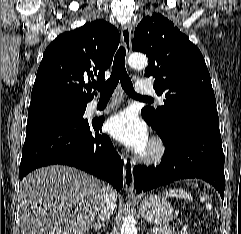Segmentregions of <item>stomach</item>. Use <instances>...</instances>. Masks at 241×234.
<instances>
[{"label":"stomach","mask_w":241,"mask_h":234,"mask_svg":"<svg viewBox=\"0 0 241 234\" xmlns=\"http://www.w3.org/2000/svg\"><path fill=\"white\" fill-rule=\"evenodd\" d=\"M139 212L147 221L166 227L173 219V207L166 198L150 195L139 203Z\"/></svg>","instance_id":"1"}]
</instances>
